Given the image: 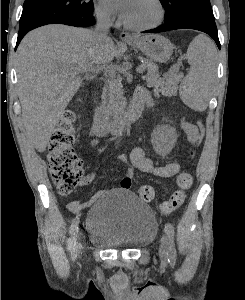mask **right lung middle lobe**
I'll use <instances>...</instances> for the list:
<instances>
[{"mask_svg": "<svg viewBox=\"0 0 245 300\" xmlns=\"http://www.w3.org/2000/svg\"><path fill=\"white\" fill-rule=\"evenodd\" d=\"M93 0H25L19 33L63 19L93 15Z\"/></svg>", "mask_w": 245, "mask_h": 300, "instance_id": "1", "label": "right lung middle lobe"}]
</instances>
